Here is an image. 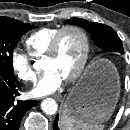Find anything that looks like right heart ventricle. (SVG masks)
I'll return each instance as SVG.
<instances>
[{"mask_svg":"<svg viewBox=\"0 0 130 130\" xmlns=\"http://www.w3.org/2000/svg\"><path fill=\"white\" fill-rule=\"evenodd\" d=\"M59 30V27H42L33 31L25 40L29 54L34 59L44 57L53 37Z\"/></svg>","mask_w":130,"mask_h":130,"instance_id":"right-heart-ventricle-1","label":"right heart ventricle"}]
</instances>
